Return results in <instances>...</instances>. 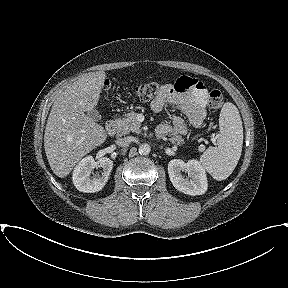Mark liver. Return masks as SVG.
<instances>
[{
    "label": "liver",
    "mask_w": 288,
    "mask_h": 288,
    "mask_svg": "<svg viewBox=\"0 0 288 288\" xmlns=\"http://www.w3.org/2000/svg\"><path fill=\"white\" fill-rule=\"evenodd\" d=\"M105 78L104 71L83 74L67 86L51 108L44 148L53 173L60 178L107 138L104 127L85 114L97 106Z\"/></svg>",
    "instance_id": "obj_1"
}]
</instances>
